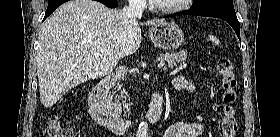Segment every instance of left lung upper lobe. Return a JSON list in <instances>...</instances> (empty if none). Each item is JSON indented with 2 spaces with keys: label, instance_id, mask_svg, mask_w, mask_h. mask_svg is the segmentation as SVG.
<instances>
[{
  "label": "left lung upper lobe",
  "instance_id": "1",
  "mask_svg": "<svg viewBox=\"0 0 280 137\" xmlns=\"http://www.w3.org/2000/svg\"><path fill=\"white\" fill-rule=\"evenodd\" d=\"M223 10L235 13L232 0H197L190 10Z\"/></svg>",
  "mask_w": 280,
  "mask_h": 137
}]
</instances>
